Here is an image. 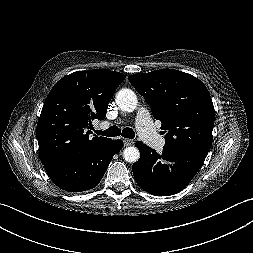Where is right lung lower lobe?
Instances as JSON below:
<instances>
[{"label": "right lung lower lobe", "mask_w": 253, "mask_h": 253, "mask_svg": "<svg viewBox=\"0 0 253 253\" xmlns=\"http://www.w3.org/2000/svg\"><path fill=\"white\" fill-rule=\"evenodd\" d=\"M122 146L121 140L109 139L85 152L49 160L44 167L59 188L69 192L89 190L98 185L114 154Z\"/></svg>", "instance_id": "obj_1"}]
</instances>
